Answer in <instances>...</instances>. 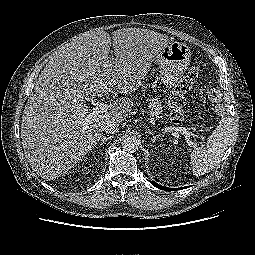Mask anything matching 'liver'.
Masks as SVG:
<instances>
[{
	"mask_svg": "<svg viewBox=\"0 0 255 255\" xmlns=\"http://www.w3.org/2000/svg\"><path fill=\"white\" fill-rule=\"evenodd\" d=\"M168 43L165 34L123 28L112 37L90 30L59 48L23 111L21 139L33 171L44 179H55L98 143L107 121L123 122L133 106L129 98L117 99L108 112L91 116L84 97L112 89L134 92ZM111 44L115 58L109 57Z\"/></svg>",
	"mask_w": 255,
	"mask_h": 255,
	"instance_id": "6515ba94",
	"label": "liver"
}]
</instances>
